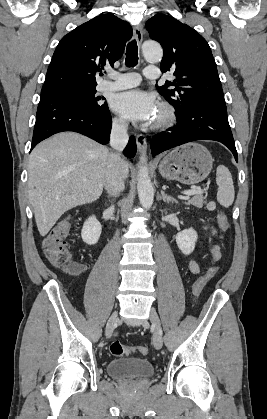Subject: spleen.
Segmentation results:
<instances>
[{
	"label": "spleen",
	"mask_w": 267,
	"mask_h": 419,
	"mask_svg": "<svg viewBox=\"0 0 267 419\" xmlns=\"http://www.w3.org/2000/svg\"><path fill=\"white\" fill-rule=\"evenodd\" d=\"M216 183L218 185L217 201L223 207H229L233 204L235 191L232 175L229 169L220 165L216 172Z\"/></svg>",
	"instance_id": "1"
}]
</instances>
